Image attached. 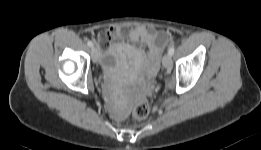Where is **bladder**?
<instances>
[{"label": "bladder", "mask_w": 261, "mask_h": 150, "mask_svg": "<svg viewBox=\"0 0 261 150\" xmlns=\"http://www.w3.org/2000/svg\"><path fill=\"white\" fill-rule=\"evenodd\" d=\"M119 64V48L110 50L103 58L102 65L105 70H113Z\"/></svg>", "instance_id": "obj_1"}]
</instances>
